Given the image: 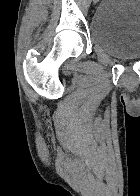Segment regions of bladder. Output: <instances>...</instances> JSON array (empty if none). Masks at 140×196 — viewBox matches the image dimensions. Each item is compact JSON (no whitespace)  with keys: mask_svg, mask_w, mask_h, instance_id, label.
I'll list each match as a JSON object with an SVG mask.
<instances>
[{"mask_svg":"<svg viewBox=\"0 0 140 196\" xmlns=\"http://www.w3.org/2000/svg\"><path fill=\"white\" fill-rule=\"evenodd\" d=\"M93 44L118 59L140 58V0H102L90 23Z\"/></svg>","mask_w":140,"mask_h":196,"instance_id":"bladder-1","label":"bladder"}]
</instances>
